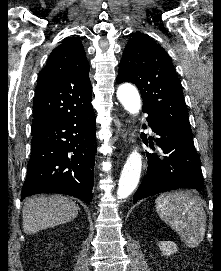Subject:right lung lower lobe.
I'll list each match as a JSON object with an SVG mask.
<instances>
[{
	"label": "right lung lower lobe",
	"instance_id": "1",
	"mask_svg": "<svg viewBox=\"0 0 221 271\" xmlns=\"http://www.w3.org/2000/svg\"><path fill=\"white\" fill-rule=\"evenodd\" d=\"M95 130L91 108L32 131L21 200L37 193H60L91 202Z\"/></svg>",
	"mask_w": 221,
	"mask_h": 271
}]
</instances>
